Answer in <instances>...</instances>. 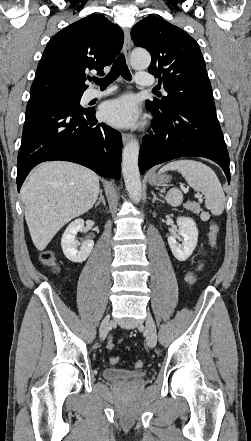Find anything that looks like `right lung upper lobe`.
I'll return each instance as SVG.
<instances>
[{
    "mask_svg": "<svg viewBox=\"0 0 251 441\" xmlns=\"http://www.w3.org/2000/svg\"><path fill=\"white\" fill-rule=\"evenodd\" d=\"M124 41L122 29L103 15L87 16L59 31L48 42L30 89V100L68 94L88 88L85 71L103 75Z\"/></svg>",
    "mask_w": 251,
    "mask_h": 441,
    "instance_id": "cb5924a9",
    "label": "right lung upper lobe"
}]
</instances>
